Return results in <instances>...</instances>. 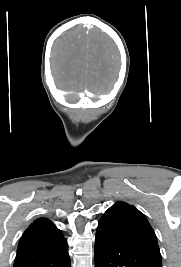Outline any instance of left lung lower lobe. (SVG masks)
I'll use <instances>...</instances> for the list:
<instances>
[{
    "label": "left lung lower lobe",
    "instance_id": "left-lung-lower-lobe-1",
    "mask_svg": "<svg viewBox=\"0 0 181 267\" xmlns=\"http://www.w3.org/2000/svg\"><path fill=\"white\" fill-rule=\"evenodd\" d=\"M95 267H162L161 257L105 229H98Z\"/></svg>",
    "mask_w": 181,
    "mask_h": 267
}]
</instances>
